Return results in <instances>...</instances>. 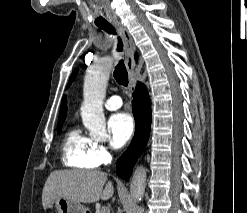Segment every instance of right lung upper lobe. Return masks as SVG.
Here are the masks:
<instances>
[{"label":"right lung upper lobe","mask_w":247,"mask_h":213,"mask_svg":"<svg viewBox=\"0 0 247 213\" xmlns=\"http://www.w3.org/2000/svg\"><path fill=\"white\" fill-rule=\"evenodd\" d=\"M66 111H67L66 98L64 97L62 99V103H61L60 115H59L58 123H63L64 122L65 117H66Z\"/></svg>","instance_id":"obj_1"}]
</instances>
